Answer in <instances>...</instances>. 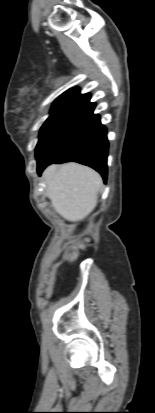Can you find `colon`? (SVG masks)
I'll list each match as a JSON object with an SVG mask.
<instances>
[{"label":"colon","mask_w":155,"mask_h":413,"mask_svg":"<svg viewBox=\"0 0 155 413\" xmlns=\"http://www.w3.org/2000/svg\"><path fill=\"white\" fill-rule=\"evenodd\" d=\"M84 248L83 244L76 243L68 246L63 253V262L72 263L78 256L79 252Z\"/></svg>","instance_id":"5ec220e1"}]
</instances>
